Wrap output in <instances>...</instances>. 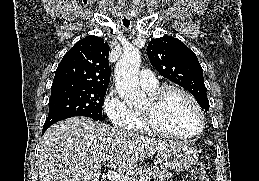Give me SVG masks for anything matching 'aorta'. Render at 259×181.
<instances>
[{
	"mask_svg": "<svg viewBox=\"0 0 259 181\" xmlns=\"http://www.w3.org/2000/svg\"><path fill=\"white\" fill-rule=\"evenodd\" d=\"M140 63L139 49L130 47L124 50L115 67L116 90L129 108L141 107L146 102V94L139 87Z\"/></svg>",
	"mask_w": 259,
	"mask_h": 181,
	"instance_id": "762f6f07",
	"label": "aorta"
}]
</instances>
